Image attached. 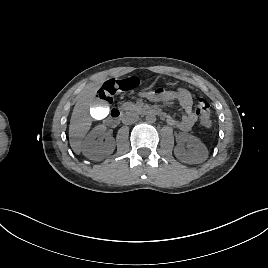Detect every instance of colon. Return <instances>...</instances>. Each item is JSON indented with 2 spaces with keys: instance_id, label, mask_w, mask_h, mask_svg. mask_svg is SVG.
Listing matches in <instances>:
<instances>
[{
  "instance_id": "5ec220e1",
  "label": "colon",
  "mask_w": 268,
  "mask_h": 268,
  "mask_svg": "<svg viewBox=\"0 0 268 268\" xmlns=\"http://www.w3.org/2000/svg\"><path fill=\"white\" fill-rule=\"evenodd\" d=\"M138 85L139 80L136 77L122 80L111 79L102 85L97 93V97L102 101L110 102L117 93L134 89ZM196 113L199 116L200 124L204 128H209L211 126L210 105L203 98L198 100Z\"/></svg>"
}]
</instances>
